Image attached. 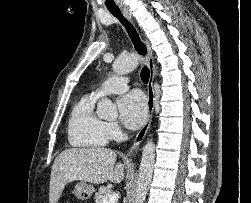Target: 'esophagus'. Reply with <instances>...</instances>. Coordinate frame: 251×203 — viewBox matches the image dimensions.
Segmentation results:
<instances>
[{
  "label": "esophagus",
  "instance_id": "obj_1",
  "mask_svg": "<svg viewBox=\"0 0 251 203\" xmlns=\"http://www.w3.org/2000/svg\"><path fill=\"white\" fill-rule=\"evenodd\" d=\"M123 14L127 19L132 21V15L127 9L123 10ZM145 44L147 47L146 61H147V65H148L149 71H150L149 82L147 85V118H146L144 125L142 126V128L139 130V132L135 136L134 141L132 143V146L130 147V149L127 153V156H131L134 153V151L138 148V146L141 144L143 139L145 138V136L150 128L152 117H153V112H154L155 92H154L153 84H154L155 72H156L155 71V62H154V58H153L150 44L147 40H145Z\"/></svg>",
  "mask_w": 251,
  "mask_h": 203
}]
</instances>
